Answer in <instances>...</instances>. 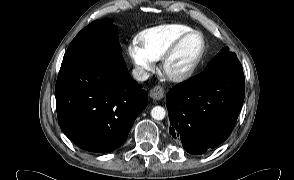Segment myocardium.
<instances>
[{"instance_id":"1","label":"myocardium","mask_w":294,"mask_h":180,"mask_svg":"<svg viewBox=\"0 0 294 180\" xmlns=\"http://www.w3.org/2000/svg\"><path fill=\"white\" fill-rule=\"evenodd\" d=\"M193 36H198L201 40L200 51L198 52V54L196 55L192 63L185 70L179 73H170L167 69L169 62L178 52L182 44ZM205 51H206V41L203 34L197 30H191L190 32L178 38L162 55V57L160 58L159 71L166 79H168L171 82H175V83L184 82L188 80L194 74L196 68L198 67V65L200 64L201 60L204 57Z\"/></svg>"}]
</instances>
